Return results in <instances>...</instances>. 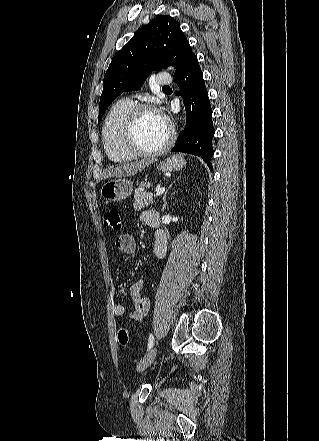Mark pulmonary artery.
I'll return each mask as SVG.
<instances>
[{
    "label": "pulmonary artery",
    "mask_w": 319,
    "mask_h": 441,
    "mask_svg": "<svg viewBox=\"0 0 319 441\" xmlns=\"http://www.w3.org/2000/svg\"><path fill=\"white\" fill-rule=\"evenodd\" d=\"M172 82V78L168 73H160L156 78V84L159 86H168Z\"/></svg>",
    "instance_id": "pulmonary-artery-1"
}]
</instances>
